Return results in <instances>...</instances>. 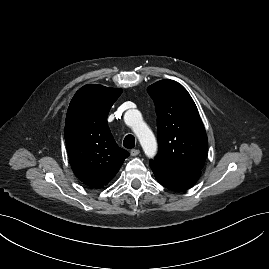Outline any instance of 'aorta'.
<instances>
[{"mask_svg":"<svg viewBox=\"0 0 269 269\" xmlns=\"http://www.w3.org/2000/svg\"><path fill=\"white\" fill-rule=\"evenodd\" d=\"M125 122L133 128L146 156L153 158L157 154V141L153 132L142 122L141 113L138 110H128Z\"/></svg>","mask_w":269,"mask_h":269,"instance_id":"762f6f07","label":"aorta"}]
</instances>
